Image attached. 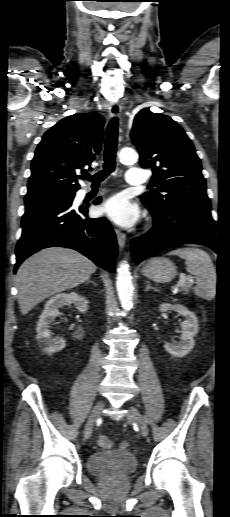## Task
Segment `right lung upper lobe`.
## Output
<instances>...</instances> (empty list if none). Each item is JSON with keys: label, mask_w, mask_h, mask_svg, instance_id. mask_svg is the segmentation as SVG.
Masks as SVG:
<instances>
[{"label": "right lung upper lobe", "mask_w": 230, "mask_h": 517, "mask_svg": "<svg viewBox=\"0 0 230 517\" xmlns=\"http://www.w3.org/2000/svg\"><path fill=\"white\" fill-rule=\"evenodd\" d=\"M103 125V117L96 112L76 113L44 134L32 160L26 204L75 194L80 188L76 172L99 153Z\"/></svg>", "instance_id": "obj_1"}]
</instances>
